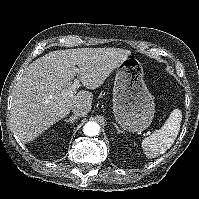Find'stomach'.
<instances>
[{
  "mask_svg": "<svg viewBox=\"0 0 199 199\" xmlns=\"http://www.w3.org/2000/svg\"><path fill=\"white\" fill-rule=\"evenodd\" d=\"M140 61L128 57L116 68L113 88L115 120L130 132H141L152 123L155 103L144 82Z\"/></svg>",
  "mask_w": 199,
  "mask_h": 199,
  "instance_id": "obj_1",
  "label": "stomach"
}]
</instances>
